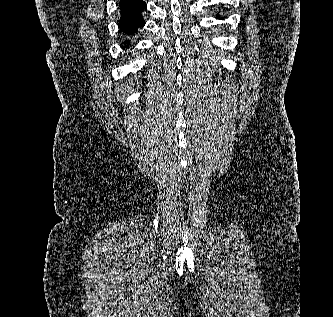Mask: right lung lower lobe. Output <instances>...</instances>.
I'll return each mask as SVG.
<instances>
[{"label": "right lung lower lobe", "instance_id": "98d812e1", "mask_svg": "<svg viewBox=\"0 0 333 317\" xmlns=\"http://www.w3.org/2000/svg\"><path fill=\"white\" fill-rule=\"evenodd\" d=\"M147 8L143 0H120V19L118 22L120 31L127 37L134 36L138 29L145 25L142 12ZM124 47L130 45L129 40L123 42Z\"/></svg>", "mask_w": 333, "mask_h": 317}]
</instances>
